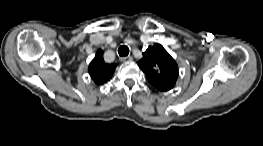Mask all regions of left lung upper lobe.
Returning a JSON list of instances; mask_svg holds the SVG:
<instances>
[{"instance_id":"obj_1","label":"left lung upper lobe","mask_w":263,"mask_h":146,"mask_svg":"<svg viewBox=\"0 0 263 146\" xmlns=\"http://www.w3.org/2000/svg\"><path fill=\"white\" fill-rule=\"evenodd\" d=\"M138 66L146 74L152 86L160 91L172 89L179 74L175 60L158 43L148 47Z\"/></svg>"}]
</instances>
